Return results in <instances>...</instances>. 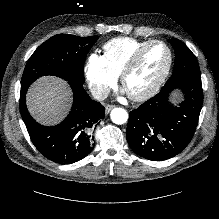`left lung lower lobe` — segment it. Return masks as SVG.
<instances>
[{
  "instance_id": "obj_1",
  "label": "left lung lower lobe",
  "mask_w": 219,
  "mask_h": 219,
  "mask_svg": "<svg viewBox=\"0 0 219 219\" xmlns=\"http://www.w3.org/2000/svg\"><path fill=\"white\" fill-rule=\"evenodd\" d=\"M181 90L184 101L174 106L169 97ZM203 103L201 76L185 74L165 83L161 91L129 113L126 137L132 150L149 160L179 154L195 132Z\"/></svg>"
}]
</instances>
